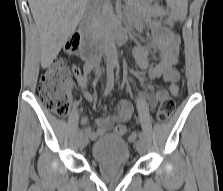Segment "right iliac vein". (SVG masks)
I'll use <instances>...</instances> for the list:
<instances>
[{
  "mask_svg": "<svg viewBox=\"0 0 223 191\" xmlns=\"http://www.w3.org/2000/svg\"><path fill=\"white\" fill-rule=\"evenodd\" d=\"M87 143H88V138L84 135H80L79 136V147L81 149H83L87 146Z\"/></svg>",
  "mask_w": 223,
  "mask_h": 191,
  "instance_id": "63e3f726",
  "label": "right iliac vein"
}]
</instances>
